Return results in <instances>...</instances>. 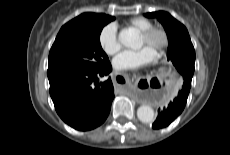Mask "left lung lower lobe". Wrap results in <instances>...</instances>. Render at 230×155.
<instances>
[{
	"label": "left lung lower lobe",
	"instance_id": "1",
	"mask_svg": "<svg viewBox=\"0 0 230 155\" xmlns=\"http://www.w3.org/2000/svg\"><path fill=\"white\" fill-rule=\"evenodd\" d=\"M191 80L192 78L189 77L183 78V85L179 89L178 95L175 99L171 101L167 107H164L162 111H160V109L158 110L159 116L152 125L154 129L168 126L181 114L190 92Z\"/></svg>",
	"mask_w": 230,
	"mask_h": 155
}]
</instances>
